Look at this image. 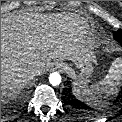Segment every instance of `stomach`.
Listing matches in <instances>:
<instances>
[{
  "label": "stomach",
  "mask_w": 122,
  "mask_h": 122,
  "mask_svg": "<svg viewBox=\"0 0 122 122\" xmlns=\"http://www.w3.org/2000/svg\"><path fill=\"white\" fill-rule=\"evenodd\" d=\"M95 63H96V58L94 53L92 51L88 52L85 56V59L78 64L80 73L74 83L86 84L89 78L91 77V74L93 73L94 70L93 65Z\"/></svg>",
  "instance_id": "0dacf381"
}]
</instances>
